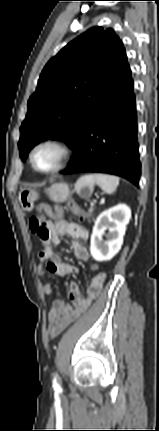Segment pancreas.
Returning <instances> with one entry per match:
<instances>
[{
  "label": "pancreas",
  "mask_w": 159,
  "mask_h": 431,
  "mask_svg": "<svg viewBox=\"0 0 159 431\" xmlns=\"http://www.w3.org/2000/svg\"><path fill=\"white\" fill-rule=\"evenodd\" d=\"M93 211H94V208H93V207H91V208L89 209V214L87 215V217H90V216H91V214L93 213Z\"/></svg>",
  "instance_id": "obj_1"
}]
</instances>
